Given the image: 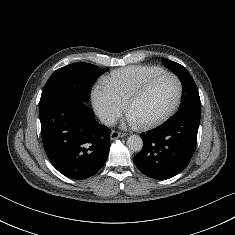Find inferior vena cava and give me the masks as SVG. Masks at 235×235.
<instances>
[{
	"instance_id": "inferior-vena-cava-1",
	"label": "inferior vena cava",
	"mask_w": 235,
	"mask_h": 235,
	"mask_svg": "<svg viewBox=\"0 0 235 235\" xmlns=\"http://www.w3.org/2000/svg\"><path fill=\"white\" fill-rule=\"evenodd\" d=\"M99 119L106 126H112L116 122L115 117L109 113L99 114Z\"/></svg>"
}]
</instances>
